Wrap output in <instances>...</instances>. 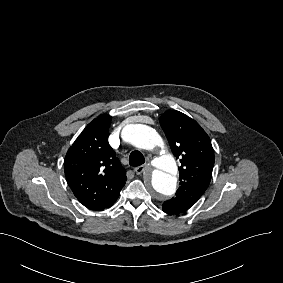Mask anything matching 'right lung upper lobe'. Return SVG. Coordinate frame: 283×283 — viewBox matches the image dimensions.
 I'll use <instances>...</instances> for the list:
<instances>
[{
  "label": "right lung upper lobe",
  "mask_w": 283,
  "mask_h": 283,
  "mask_svg": "<svg viewBox=\"0 0 283 283\" xmlns=\"http://www.w3.org/2000/svg\"><path fill=\"white\" fill-rule=\"evenodd\" d=\"M112 117L100 115L91 121L69 148L64 171L75 197L87 208L111 207L125 185L126 172L108 143Z\"/></svg>",
  "instance_id": "cb5924a9"
}]
</instances>
